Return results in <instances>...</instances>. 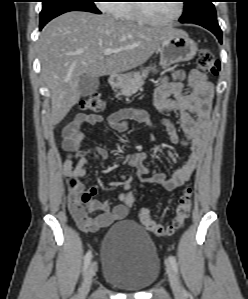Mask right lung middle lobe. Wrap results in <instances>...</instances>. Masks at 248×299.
<instances>
[{"instance_id":"1","label":"right lung middle lobe","mask_w":248,"mask_h":299,"mask_svg":"<svg viewBox=\"0 0 248 299\" xmlns=\"http://www.w3.org/2000/svg\"><path fill=\"white\" fill-rule=\"evenodd\" d=\"M69 11H86L101 14L95 6L94 0H43L40 24L47 23L56 16Z\"/></svg>"}]
</instances>
